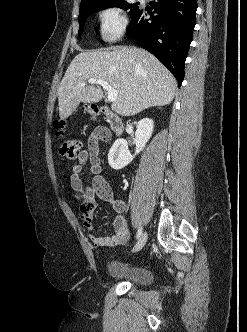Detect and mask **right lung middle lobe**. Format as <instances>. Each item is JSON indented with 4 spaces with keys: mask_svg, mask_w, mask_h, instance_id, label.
<instances>
[{
    "mask_svg": "<svg viewBox=\"0 0 247 332\" xmlns=\"http://www.w3.org/2000/svg\"><path fill=\"white\" fill-rule=\"evenodd\" d=\"M110 7H118L122 8L124 10H130L129 13L131 14V17L138 11L139 7L137 6V3L131 4L127 0H106L103 2H99L84 8H80L79 11V35L83 32V26L85 23L86 18L95 12H98L100 10L110 8Z\"/></svg>",
    "mask_w": 247,
    "mask_h": 332,
    "instance_id": "right-lung-middle-lobe-1",
    "label": "right lung middle lobe"
}]
</instances>
